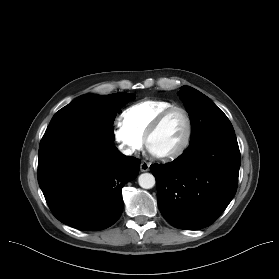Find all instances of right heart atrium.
<instances>
[{
    "label": "right heart atrium",
    "instance_id": "1",
    "mask_svg": "<svg viewBox=\"0 0 279 279\" xmlns=\"http://www.w3.org/2000/svg\"><path fill=\"white\" fill-rule=\"evenodd\" d=\"M113 137L119 149L127 155L139 152L144 144L143 139L127 128L121 121H117L114 124Z\"/></svg>",
    "mask_w": 279,
    "mask_h": 279
}]
</instances>
